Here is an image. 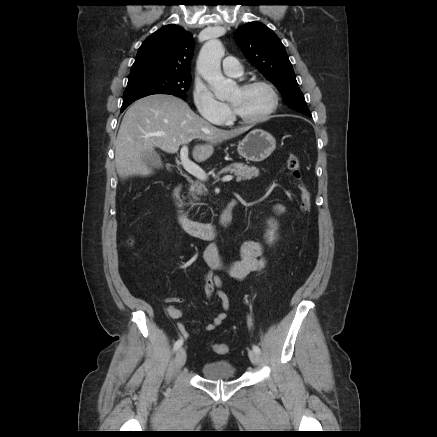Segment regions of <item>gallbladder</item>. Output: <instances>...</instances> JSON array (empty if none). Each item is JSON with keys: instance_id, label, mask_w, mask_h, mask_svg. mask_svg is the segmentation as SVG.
<instances>
[{"instance_id": "obj_1", "label": "gallbladder", "mask_w": 437, "mask_h": 437, "mask_svg": "<svg viewBox=\"0 0 437 437\" xmlns=\"http://www.w3.org/2000/svg\"><path fill=\"white\" fill-rule=\"evenodd\" d=\"M145 161L148 164V166H150L152 168L162 167L161 160L159 158V155L156 152H152L151 154H149L146 157Z\"/></svg>"}]
</instances>
